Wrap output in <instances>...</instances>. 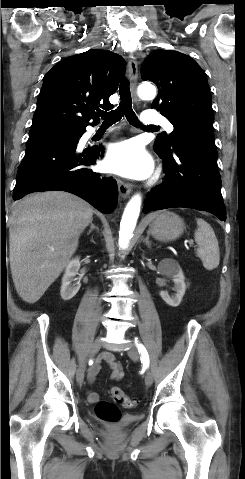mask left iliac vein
<instances>
[{
	"mask_svg": "<svg viewBox=\"0 0 245 479\" xmlns=\"http://www.w3.org/2000/svg\"><path fill=\"white\" fill-rule=\"evenodd\" d=\"M128 355L132 360H138L139 358V353L135 346H130V348L128 349ZM144 379H145V384L147 386H151L153 382V377L149 370L146 371Z\"/></svg>",
	"mask_w": 245,
	"mask_h": 479,
	"instance_id": "obj_1",
	"label": "left iliac vein"
}]
</instances>
